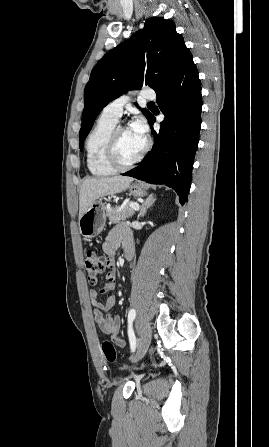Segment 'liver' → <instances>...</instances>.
<instances>
[{
	"label": "liver",
	"instance_id": "obj_1",
	"mask_svg": "<svg viewBox=\"0 0 269 447\" xmlns=\"http://www.w3.org/2000/svg\"><path fill=\"white\" fill-rule=\"evenodd\" d=\"M133 180L134 178H126V176L87 178V180H84L79 196V220L97 198L109 196V194H118V192L129 188Z\"/></svg>",
	"mask_w": 269,
	"mask_h": 447
}]
</instances>
